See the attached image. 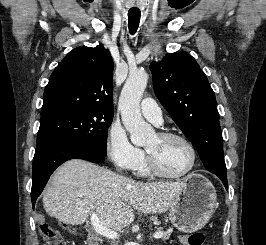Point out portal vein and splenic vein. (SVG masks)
Wrapping results in <instances>:
<instances>
[{
    "label": "portal vein and splenic vein",
    "mask_w": 266,
    "mask_h": 245,
    "mask_svg": "<svg viewBox=\"0 0 266 245\" xmlns=\"http://www.w3.org/2000/svg\"><path fill=\"white\" fill-rule=\"evenodd\" d=\"M91 225H93L98 235H103V237H108V239H119V233L112 231V229H108V227H104V225L100 223L97 215H91ZM153 237H155V239H161L163 233H155Z\"/></svg>",
    "instance_id": "18ae733b"
}]
</instances>
